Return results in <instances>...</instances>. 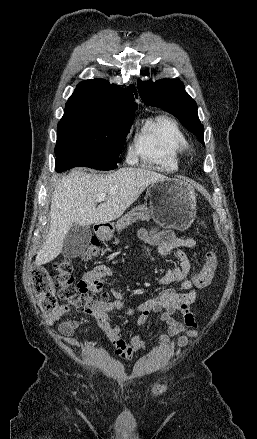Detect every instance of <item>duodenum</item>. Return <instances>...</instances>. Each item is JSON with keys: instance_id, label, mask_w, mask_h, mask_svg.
I'll list each match as a JSON object with an SVG mask.
<instances>
[{"instance_id": "1", "label": "duodenum", "mask_w": 257, "mask_h": 439, "mask_svg": "<svg viewBox=\"0 0 257 439\" xmlns=\"http://www.w3.org/2000/svg\"><path fill=\"white\" fill-rule=\"evenodd\" d=\"M98 230L103 232V235H107L109 232V225L108 224H101L98 226Z\"/></svg>"}]
</instances>
